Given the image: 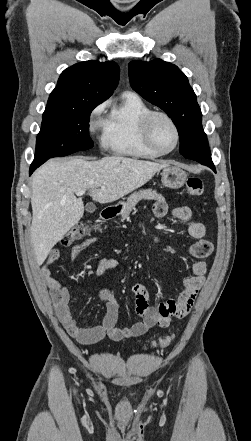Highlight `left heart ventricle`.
Returning <instances> with one entry per match:
<instances>
[{"instance_id": "obj_1", "label": "left heart ventricle", "mask_w": 251, "mask_h": 441, "mask_svg": "<svg viewBox=\"0 0 251 441\" xmlns=\"http://www.w3.org/2000/svg\"><path fill=\"white\" fill-rule=\"evenodd\" d=\"M152 136L155 144L161 150H170L175 144L174 130L164 118L159 117L154 121Z\"/></svg>"}]
</instances>
